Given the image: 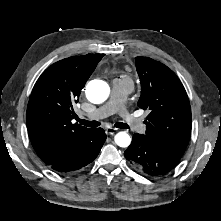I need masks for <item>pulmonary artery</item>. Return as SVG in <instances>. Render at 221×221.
I'll list each match as a JSON object with an SVG mask.
<instances>
[{
    "mask_svg": "<svg viewBox=\"0 0 221 221\" xmlns=\"http://www.w3.org/2000/svg\"><path fill=\"white\" fill-rule=\"evenodd\" d=\"M132 90L133 85L131 82L118 79L114 80L110 100L92 113H89L87 118L89 120H98L118 113L129 128L135 132H142L145 128L144 123L140 118L131 115L125 105V99Z\"/></svg>",
    "mask_w": 221,
    "mask_h": 221,
    "instance_id": "pulmonary-artery-1",
    "label": "pulmonary artery"
}]
</instances>
